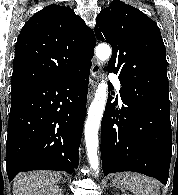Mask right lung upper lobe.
Listing matches in <instances>:
<instances>
[{"mask_svg": "<svg viewBox=\"0 0 178 195\" xmlns=\"http://www.w3.org/2000/svg\"><path fill=\"white\" fill-rule=\"evenodd\" d=\"M95 35L70 7L52 4L23 26L15 46L12 89L68 78L92 65Z\"/></svg>", "mask_w": 178, "mask_h": 195, "instance_id": "cb5924a9", "label": "right lung upper lobe"}]
</instances>
